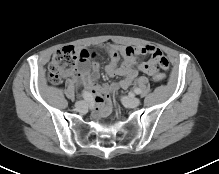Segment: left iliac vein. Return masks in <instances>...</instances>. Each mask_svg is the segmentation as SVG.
<instances>
[{
	"mask_svg": "<svg viewBox=\"0 0 219 174\" xmlns=\"http://www.w3.org/2000/svg\"><path fill=\"white\" fill-rule=\"evenodd\" d=\"M123 103L131 108L137 107L140 104V99L137 97H124Z\"/></svg>",
	"mask_w": 219,
	"mask_h": 174,
	"instance_id": "obj_1",
	"label": "left iliac vein"
}]
</instances>
